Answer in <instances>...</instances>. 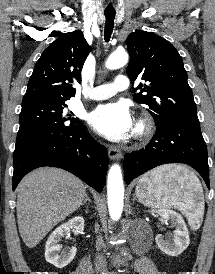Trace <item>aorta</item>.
Wrapping results in <instances>:
<instances>
[{"mask_svg": "<svg viewBox=\"0 0 215 274\" xmlns=\"http://www.w3.org/2000/svg\"><path fill=\"white\" fill-rule=\"evenodd\" d=\"M127 61L128 54L124 50H118L109 56L106 67L108 69H117L124 66ZM107 195L110 216L113 220H118L123 210L124 185L121 168L117 164H114L108 173Z\"/></svg>", "mask_w": 215, "mask_h": 274, "instance_id": "aorta-1", "label": "aorta"}]
</instances>
